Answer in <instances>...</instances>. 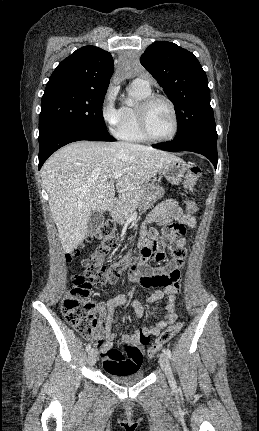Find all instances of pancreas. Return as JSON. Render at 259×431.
<instances>
[{"label": "pancreas", "mask_w": 259, "mask_h": 431, "mask_svg": "<svg viewBox=\"0 0 259 431\" xmlns=\"http://www.w3.org/2000/svg\"><path fill=\"white\" fill-rule=\"evenodd\" d=\"M142 193V188H136L122 196L117 207L112 212V217L117 223L123 224L125 222L129 214L138 206Z\"/></svg>", "instance_id": "obj_1"}]
</instances>
